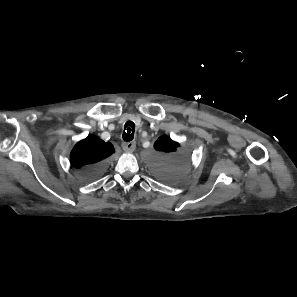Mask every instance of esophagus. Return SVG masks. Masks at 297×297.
Masks as SVG:
<instances>
[{
	"label": "esophagus",
	"instance_id": "obj_1",
	"mask_svg": "<svg viewBox=\"0 0 297 297\" xmlns=\"http://www.w3.org/2000/svg\"><path fill=\"white\" fill-rule=\"evenodd\" d=\"M122 148L125 152H133L136 148V142L135 141L123 142Z\"/></svg>",
	"mask_w": 297,
	"mask_h": 297
}]
</instances>
